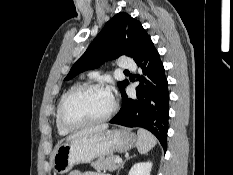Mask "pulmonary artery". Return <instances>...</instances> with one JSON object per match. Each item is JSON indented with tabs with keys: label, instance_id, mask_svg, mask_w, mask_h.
Wrapping results in <instances>:
<instances>
[{
	"label": "pulmonary artery",
	"instance_id": "e3ab8cb5",
	"mask_svg": "<svg viewBox=\"0 0 233 175\" xmlns=\"http://www.w3.org/2000/svg\"><path fill=\"white\" fill-rule=\"evenodd\" d=\"M118 66L119 68H122V69H134L135 62L125 57H121L118 62Z\"/></svg>",
	"mask_w": 233,
	"mask_h": 175
}]
</instances>
